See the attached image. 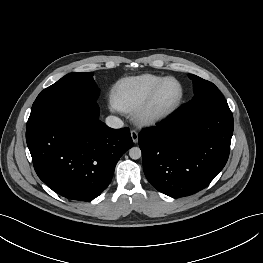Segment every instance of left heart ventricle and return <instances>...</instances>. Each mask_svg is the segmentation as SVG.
Returning a JSON list of instances; mask_svg holds the SVG:
<instances>
[{
	"label": "left heart ventricle",
	"instance_id": "1",
	"mask_svg": "<svg viewBox=\"0 0 263 263\" xmlns=\"http://www.w3.org/2000/svg\"><path fill=\"white\" fill-rule=\"evenodd\" d=\"M180 86L177 82L170 80L165 83L158 94L156 107L166 108L173 105L180 96Z\"/></svg>",
	"mask_w": 263,
	"mask_h": 263
}]
</instances>
